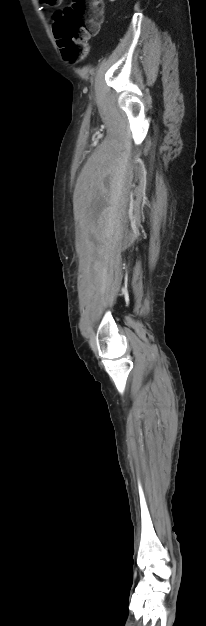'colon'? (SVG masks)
I'll use <instances>...</instances> for the list:
<instances>
[{"mask_svg": "<svg viewBox=\"0 0 206 626\" xmlns=\"http://www.w3.org/2000/svg\"><path fill=\"white\" fill-rule=\"evenodd\" d=\"M58 5L61 0H44ZM103 19L102 0H71L69 6L53 16V33L63 58L77 62L85 54L86 43L96 34Z\"/></svg>", "mask_w": 206, "mask_h": 626, "instance_id": "1", "label": "colon"}]
</instances>
